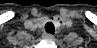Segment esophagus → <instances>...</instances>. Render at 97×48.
<instances>
[{
	"label": "esophagus",
	"instance_id": "obj_1",
	"mask_svg": "<svg viewBox=\"0 0 97 48\" xmlns=\"http://www.w3.org/2000/svg\"><path fill=\"white\" fill-rule=\"evenodd\" d=\"M43 37L44 38H49V39H53L54 35L50 34V33H43Z\"/></svg>",
	"mask_w": 97,
	"mask_h": 48
}]
</instances>
